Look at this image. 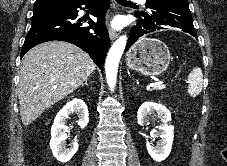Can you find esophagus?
I'll list each match as a JSON object with an SVG mask.
<instances>
[{
  "mask_svg": "<svg viewBox=\"0 0 227 166\" xmlns=\"http://www.w3.org/2000/svg\"><path fill=\"white\" fill-rule=\"evenodd\" d=\"M113 1H115V0H113ZM118 35H119L118 31H115L112 28H110L109 37L112 41L115 40L118 37Z\"/></svg>",
  "mask_w": 227,
  "mask_h": 166,
  "instance_id": "esophagus-1",
  "label": "esophagus"
}]
</instances>
